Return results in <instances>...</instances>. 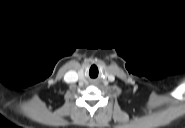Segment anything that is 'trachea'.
<instances>
[{"label":"trachea","instance_id":"3493384b","mask_svg":"<svg viewBox=\"0 0 185 128\" xmlns=\"http://www.w3.org/2000/svg\"><path fill=\"white\" fill-rule=\"evenodd\" d=\"M99 74V70L97 68V66L93 65L91 66L90 70H89V75L91 78H96Z\"/></svg>","mask_w":185,"mask_h":128}]
</instances>
